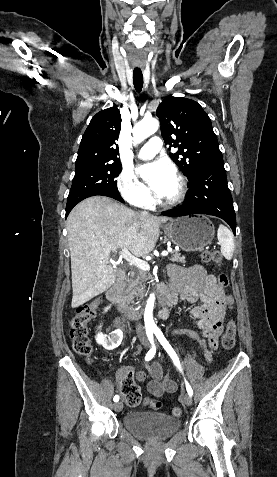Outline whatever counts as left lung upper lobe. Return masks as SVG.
Masks as SVG:
<instances>
[{"instance_id":"left-lung-upper-lobe-1","label":"left lung upper lobe","mask_w":277,"mask_h":477,"mask_svg":"<svg viewBox=\"0 0 277 477\" xmlns=\"http://www.w3.org/2000/svg\"><path fill=\"white\" fill-rule=\"evenodd\" d=\"M156 115L169 149L179 147L170 157L189 181L202 165L223 160L211 120L197 102L170 95L159 105Z\"/></svg>"}]
</instances>
